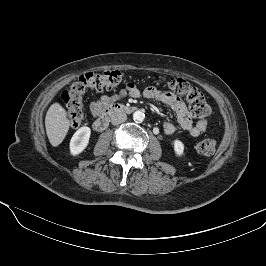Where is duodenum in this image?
Listing matches in <instances>:
<instances>
[{"label":"duodenum","instance_id":"duodenum-1","mask_svg":"<svg viewBox=\"0 0 266 266\" xmlns=\"http://www.w3.org/2000/svg\"><path fill=\"white\" fill-rule=\"evenodd\" d=\"M136 110L133 106L120 103H111L107 105L101 112L100 116L94 121L93 128L96 131H103L107 128L110 119L120 113H132Z\"/></svg>","mask_w":266,"mask_h":266}]
</instances>
